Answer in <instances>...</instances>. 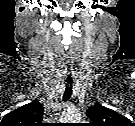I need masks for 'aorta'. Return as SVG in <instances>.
<instances>
[{"label": "aorta", "mask_w": 135, "mask_h": 126, "mask_svg": "<svg viewBox=\"0 0 135 126\" xmlns=\"http://www.w3.org/2000/svg\"><path fill=\"white\" fill-rule=\"evenodd\" d=\"M80 119L79 116H75L74 120L78 121Z\"/></svg>", "instance_id": "aorta-1"}]
</instances>
